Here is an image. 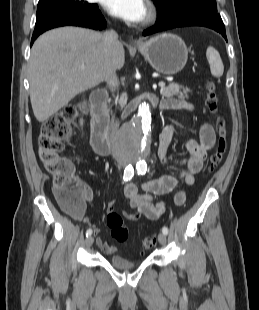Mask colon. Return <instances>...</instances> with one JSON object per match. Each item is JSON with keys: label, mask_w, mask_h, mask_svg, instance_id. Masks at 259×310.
Returning <instances> with one entry per match:
<instances>
[{"label": "colon", "mask_w": 259, "mask_h": 310, "mask_svg": "<svg viewBox=\"0 0 259 310\" xmlns=\"http://www.w3.org/2000/svg\"><path fill=\"white\" fill-rule=\"evenodd\" d=\"M205 103L211 113L218 112V97L215 85L211 81L207 83ZM85 107V103L65 107L61 114L49 118L44 123L39 136L40 160L53 177L55 199L66 212L75 217L82 214L86 195L82 185L76 179L71 159L62 155L61 152L65 140L71 135V122L76 118L78 111ZM216 130L215 151L206 167L208 174L218 168L228 150L226 125L220 116L216 120ZM106 223L111 236L116 241L125 242L128 239L129 232L120 214L109 211ZM155 244L156 236L154 234L147 235L142 241L144 249H150Z\"/></svg>", "instance_id": "5ec220e1"}]
</instances>
